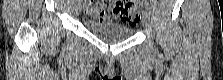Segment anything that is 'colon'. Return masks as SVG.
I'll use <instances>...</instances> for the list:
<instances>
[{"instance_id": "1", "label": "colon", "mask_w": 223, "mask_h": 80, "mask_svg": "<svg viewBox=\"0 0 223 80\" xmlns=\"http://www.w3.org/2000/svg\"><path fill=\"white\" fill-rule=\"evenodd\" d=\"M150 1H112V10L116 16L126 21L130 25H136L140 20V8L143 3ZM103 3V2H97ZM97 14V13H95Z\"/></svg>"}]
</instances>
